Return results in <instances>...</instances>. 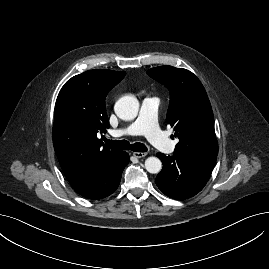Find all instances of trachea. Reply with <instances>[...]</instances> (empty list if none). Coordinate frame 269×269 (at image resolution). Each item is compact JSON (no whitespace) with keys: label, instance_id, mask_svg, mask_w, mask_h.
Here are the masks:
<instances>
[{"label":"trachea","instance_id":"obj_1","mask_svg":"<svg viewBox=\"0 0 269 269\" xmlns=\"http://www.w3.org/2000/svg\"><path fill=\"white\" fill-rule=\"evenodd\" d=\"M104 141L107 145L113 146L115 148L122 149V150H132L135 152H146L147 151V147L142 143L130 144L126 140H109L106 138L104 139Z\"/></svg>","mask_w":269,"mask_h":269}]
</instances>
